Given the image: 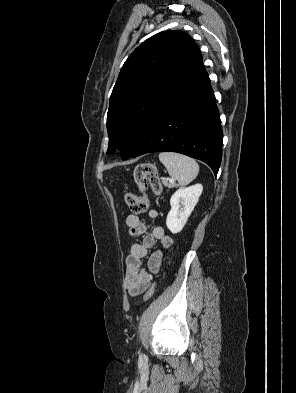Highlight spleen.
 Masks as SVG:
<instances>
[{"label": "spleen", "instance_id": "1", "mask_svg": "<svg viewBox=\"0 0 296 393\" xmlns=\"http://www.w3.org/2000/svg\"><path fill=\"white\" fill-rule=\"evenodd\" d=\"M159 160L166 167L169 175L181 186L191 183L199 173L197 162L185 155L162 152L159 154Z\"/></svg>", "mask_w": 296, "mask_h": 393}]
</instances>
